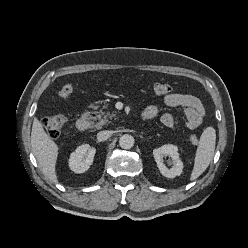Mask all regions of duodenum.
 Segmentation results:
<instances>
[{"label":"duodenum","instance_id":"duodenum-1","mask_svg":"<svg viewBox=\"0 0 248 248\" xmlns=\"http://www.w3.org/2000/svg\"><path fill=\"white\" fill-rule=\"evenodd\" d=\"M96 122L97 117L95 115L86 113L78 119L77 128L79 131H87Z\"/></svg>","mask_w":248,"mask_h":248}]
</instances>
